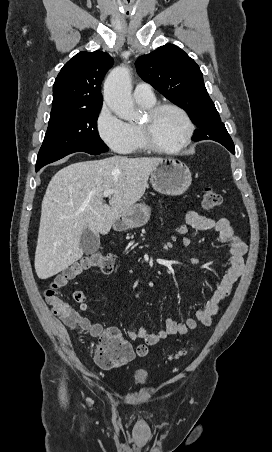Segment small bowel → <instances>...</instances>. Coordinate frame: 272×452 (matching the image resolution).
I'll use <instances>...</instances> for the list:
<instances>
[{
	"mask_svg": "<svg viewBox=\"0 0 272 452\" xmlns=\"http://www.w3.org/2000/svg\"><path fill=\"white\" fill-rule=\"evenodd\" d=\"M189 228L201 231L216 230L219 235V241L222 244L228 245L227 256L229 264L213 296L207 301L203 308L197 310L195 317L187 318L185 321L166 319L165 328L158 332H150L144 327H132L127 329V336L129 339L143 340L144 344L139 346H144L147 349V352L149 346L156 345L161 340L172 335H185L190 330L195 329L198 323H201L204 326H210L213 323V317L220 309V304L230 295L233 285L244 272V256L247 253L248 248L247 245L234 234L232 224L228 218L221 217L215 219L199 214L196 211H188L185 214L184 222L177 225L176 230L178 233L185 235L188 233ZM189 245L190 239L184 237L182 239V246L186 248ZM73 299L78 303L80 311L85 312L89 310L90 305L84 292L79 290L74 291ZM60 318L66 326L76 329L79 333L89 332L90 335L96 339H99L101 335L121 338L130 347L131 356L129 360L133 359L135 355L145 356L147 354L146 352L143 355H138L134 352L117 328H104L98 323L92 324L76 310L72 309L70 315L60 316Z\"/></svg>",
	"mask_w": 272,
	"mask_h": 452,
	"instance_id": "obj_1",
	"label": "small bowel"
}]
</instances>
